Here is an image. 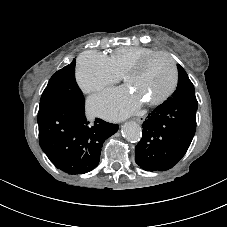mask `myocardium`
Listing matches in <instances>:
<instances>
[{"label": "myocardium", "mask_w": 227, "mask_h": 227, "mask_svg": "<svg viewBox=\"0 0 227 227\" xmlns=\"http://www.w3.org/2000/svg\"><path fill=\"white\" fill-rule=\"evenodd\" d=\"M159 56L165 57L171 63L172 70H173V80H172L171 86L164 94H162L160 97H158L154 100L145 102V104L147 106H157V105L162 104L176 90V88L178 86V82H179V71H178V67H177L175 60L167 52L156 51V52H153L151 54H148V55L142 57L135 64L130 66L124 73V80L127 82L131 76H133L137 72L141 71L152 59L159 57Z\"/></svg>", "instance_id": "myocardium-1"}]
</instances>
